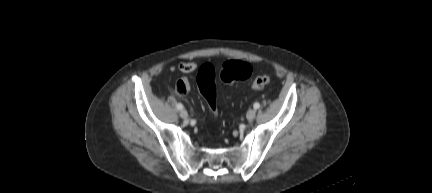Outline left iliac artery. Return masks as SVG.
I'll use <instances>...</instances> for the list:
<instances>
[{"instance_id":"obj_1","label":"left iliac artery","mask_w":432,"mask_h":193,"mask_svg":"<svg viewBox=\"0 0 432 193\" xmlns=\"http://www.w3.org/2000/svg\"><path fill=\"white\" fill-rule=\"evenodd\" d=\"M253 107H254V109H259L260 104L258 102H256V103H254Z\"/></svg>"}]
</instances>
